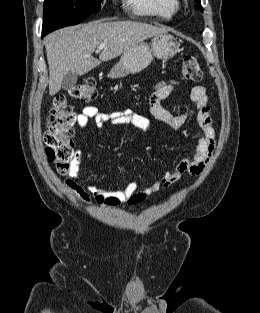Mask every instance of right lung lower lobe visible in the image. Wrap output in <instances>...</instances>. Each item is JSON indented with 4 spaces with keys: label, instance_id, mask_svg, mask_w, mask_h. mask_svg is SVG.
Listing matches in <instances>:
<instances>
[{
    "label": "right lung lower lobe",
    "instance_id": "right-lung-lower-lobe-1",
    "mask_svg": "<svg viewBox=\"0 0 260 313\" xmlns=\"http://www.w3.org/2000/svg\"><path fill=\"white\" fill-rule=\"evenodd\" d=\"M46 33L42 31V36H44Z\"/></svg>",
    "mask_w": 260,
    "mask_h": 313
}]
</instances>
